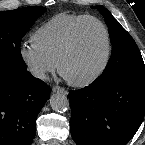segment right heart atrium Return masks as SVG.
<instances>
[{
	"instance_id": "1",
	"label": "right heart atrium",
	"mask_w": 145,
	"mask_h": 145,
	"mask_svg": "<svg viewBox=\"0 0 145 145\" xmlns=\"http://www.w3.org/2000/svg\"><path fill=\"white\" fill-rule=\"evenodd\" d=\"M19 55L27 71L36 79L45 80L56 68V63L33 43L23 44Z\"/></svg>"
}]
</instances>
